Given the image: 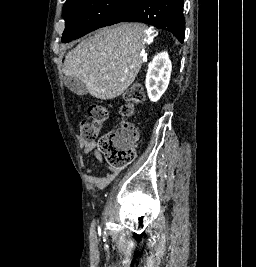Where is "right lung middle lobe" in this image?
Segmentation results:
<instances>
[{"instance_id": "obj_1", "label": "right lung middle lobe", "mask_w": 256, "mask_h": 267, "mask_svg": "<svg viewBox=\"0 0 256 267\" xmlns=\"http://www.w3.org/2000/svg\"><path fill=\"white\" fill-rule=\"evenodd\" d=\"M138 0H67L63 6L62 42L78 39L125 15Z\"/></svg>"}]
</instances>
